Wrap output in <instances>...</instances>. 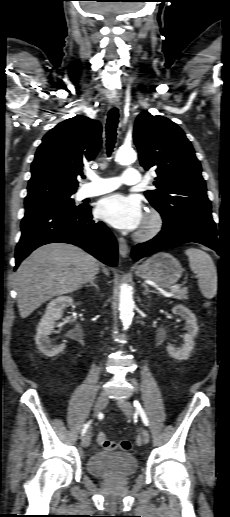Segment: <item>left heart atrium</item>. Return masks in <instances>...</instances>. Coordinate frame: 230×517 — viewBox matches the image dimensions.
Listing matches in <instances>:
<instances>
[{
    "instance_id": "left-heart-atrium-1",
    "label": "left heart atrium",
    "mask_w": 230,
    "mask_h": 517,
    "mask_svg": "<svg viewBox=\"0 0 230 517\" xmlns=\"http://www.w3.org/2000/svg\"><path fill=\"white\" fill-rule=\"evenodd\" d=\"M97 215L113 227L127 231L137 229L143 221L140 200L123 194H114L100 200Z\"/></svg>"
}]
</instances>
